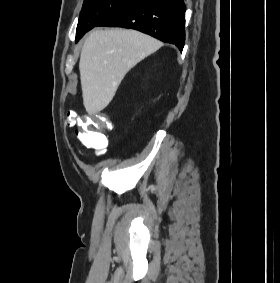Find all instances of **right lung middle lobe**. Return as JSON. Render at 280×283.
<instances>
[{
    "mask_svg": "<svg viewBox=\"0 0 280 283\" xmlns=\"http://www.w3.org/2000/svg\"><path fill=\"white\" fill-rule=\"evenodd\" d=\"M134 0H84L76 29V41L105 18Z\"/></svg>",
    "mask_w": 280,
    "mask_h": 283,
    "instance_id": "dd1d6c3e",
    "label": "right lung middle lobe"
}]
</instances>
